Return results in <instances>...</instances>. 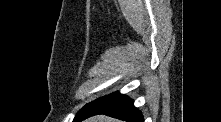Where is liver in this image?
<instances>
[{"label": "liver", "mask_w": 221, "mask_h": 122, "mask_svg": "<svg viewBox=\"0 0 221 122\" xmlns=\"http://www.w3.org/2000/svg\"><path fill=\"white\" fill-rule=\"evenodd\" d=\"M85 122H118V121L105 115H98L87 119Z\"/></svg>", "instance_id": "6515ba94"}]
</instances>
